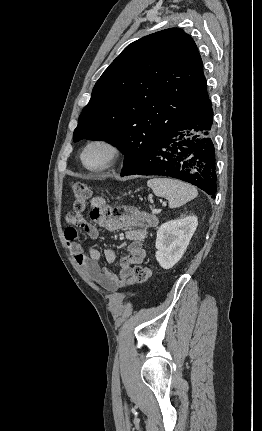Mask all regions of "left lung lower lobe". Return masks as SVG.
<instances>
[{
    "instance_id": "obj_1",
    "label": "left lung lower lobe",
    "mask_w": 262,
    "mask_h": 431,
    "mask_svg": "<svg viewBox=\"0 0 262 431\" xmlns=\"http://www.w3.org/2000/svg\"><path fill=\"white\" fill-rule=\"evenodd\" d=\"M180 179L209 195L217 190L213 110L209 98L184 123L159 140L124 175Z\"/></svg>"
}]
</instances>
